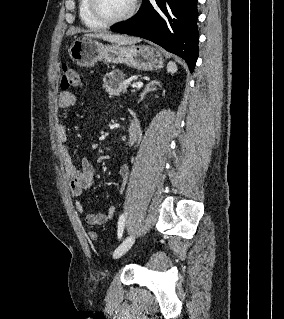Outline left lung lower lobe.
Returning a JSON list of instances; mask_svg holds the SVG:
<instances>
[{
  "instance_id": "0a47b994",
  "label": "left lung lower lobe",
  "mask_w": 284,
  "mask_h": 319,
  "mask_svg": "<svg viewBox=\"0 0 284 319\" xmlns=\"http://www.w3.org/2000/svg\"><path fill=\"white\" fill-rule=\"evenodd\" d=\"M198 0H144L132 18L112 31L139 36L182 57L193 72L198 58Z\"/></svg>"
}]
</instances>
